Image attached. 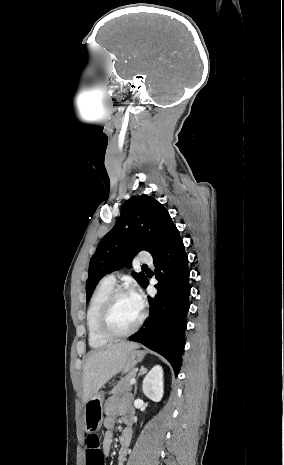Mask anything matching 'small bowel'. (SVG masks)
I'll return each instance as SVG.
<instances>
[{"label":"small bowel","mask_w":284,"mask_h":465,"mask_svg":"<svg viewBox=\"0 0 284 465\" xmlns=\"http://www.w3.org/2000/svg\"><path fill=\"white\" fill-rule=\"evenodd\" d=\"M129 400V396L118 397L116 395H112L106 400L104 404V427L106 428V432L104 434L102 448L105 455H108L111 451L113 442L112 431L118 418H122L124 424L126 425L119 436V465H124V461L127 457L128 450L132 442L133 433L130 423L133 415L129 407Z\"/></svg>","instance_id":"1"}]
</instances>
